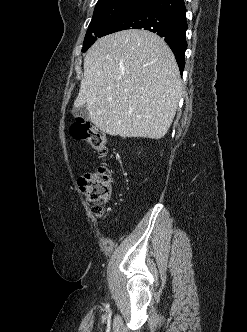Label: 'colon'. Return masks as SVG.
<instances>
[{"label": "colon", "instance_id": "5ec220e1", "mask_svg": "<svg viewBox=\"0 0 247 332\" xmlns=\"http://www.w3.org/2000/svg\"><path fill=\"white\" fill-rule=\"evenodd\" d=\"M70 134L74 139L86 141L95 152L106 157L108 153L106 137L90 122L77 118L70 127ZM112 184V173L106 165L98 167L79 179L81 192L99 217L105 214V207L111 198Z\"/></svg>", "mask_w": 247, "mask_h": 332}]
</instances>
